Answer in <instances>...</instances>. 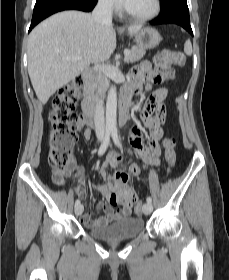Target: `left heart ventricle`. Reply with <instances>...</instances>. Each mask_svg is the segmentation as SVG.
<instances>
[{"label": "left heart ventricle", "mask_w": 229, "mask_h": 280, "mask_svg": "<svg viewBox=\"0 0 229 280\" xmlns=\"http://www.w3.org/2000/svg\"><path fill=\"white\" fill-rule=\"evenodd\" d=\"M152 7L153 0H131L125 8L134 14H145L148 13Z\"/></svg>", "instance_id": "b2bd125f"}]
</instances>
